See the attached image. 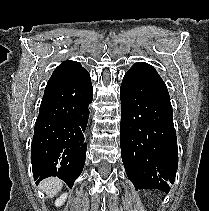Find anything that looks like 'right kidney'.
Returning <instances> with one entry per match:
<instances>
[{"instance_id":"right-kidney-1","label":"right kidney","mask_w":209,"mask_h":211,"mask_svg":"<svg viewBox=\"0 0 209 211\" xmlns=\"http://www.w3.org/2000/svg\"><path fill=\"white\" fill-rule=\"evenodd\" d=\"M66 198H67V193L62 194L58 199H56L55 206L60 207L61 205H63Z\"/></svg>"}]
</instances>
